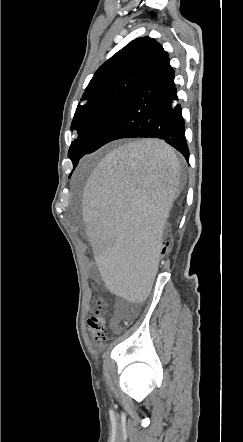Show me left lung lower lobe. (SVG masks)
I'll return each mask as SVG.
<instances>
[{
  "instance_id": "0a47b994",
  "label": "left lung lower lobe",
  "mask_w": 243,
  "mask_h": 442,
  "mask_svg": "<svg viewBox=\"0 0 243 442\" xmlns=\"http://www.w3.org/2000/svg\"><path fill=\"white\" fill-rule=\"evenodd\" d=\"M174 71L165 52L144 80L117 107L88 150L122 138H159L189 161L184 118L177 104Z\"/></svg>"
}]
</instances>
